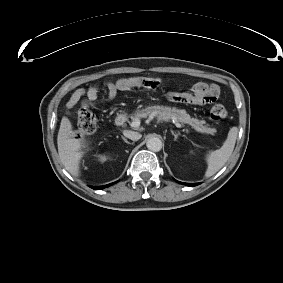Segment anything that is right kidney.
Returning a JSON list of instances; mask_svg holds the SVG:
<instances>
[{"label": "right kidney", "mask_w": 283, "mask_h": 283, "mask_svg": "<svg viewBox=\"0 0 283 283\" xmlns=\"http://www.w3.org/2000/svg\"><path fill=\"white\" fill-rule=\"evenodd\" d=\"M101 160H102V161H105V160H106V157H105V156H101Z\"/></svg>", "instance_id": "1"}]
</instances>
